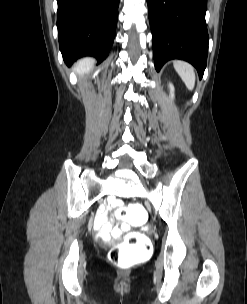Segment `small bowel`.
I'll use <instances>...</instances> for the list:
<instances>
[{
	"instance_id": "1",
	"label": "small bowel",
	"mask_w": 247,
	"mask_h": 304,
	"mask_svg": "<svg viewBox=\"0 0 247 304\" xmlns=\"http://www.w3.org/2000/svg\"><path fill=\"white\" fill-rule=\"evenodd\" d=\"M109 204L116 206L119 204V201L115 198H111ZM107 206H103L95 221H94V228L99 231L100 237H119L123 231L129 228L128 225H121L120 228L113 227L112 222L107 218L106 215Z\"/></svg>"
}]
</instances>
